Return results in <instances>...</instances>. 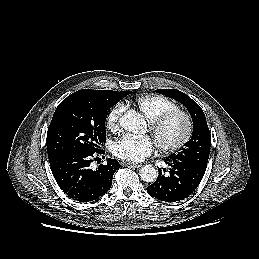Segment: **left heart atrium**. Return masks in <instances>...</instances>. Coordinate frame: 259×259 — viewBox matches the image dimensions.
Listing matches in <instances>:
<instances>
[{
	"instance_id": "1",
	"label": "left heart atrium",
	"mask_w": 259,
	"mask_h": 259,
	"mask_svg": "<svg viewBox=\"0 0 259 259\" xmlns=\"http://www.w3.org/2000/svg\"><path fill=\"white\" fill-rule=\"evenodd\" d=\"M154 151V142L148 137H136L130 134L118 139L112 146L115 156L131 161L140 162Z\"/></svg>"
}]
</instances>
